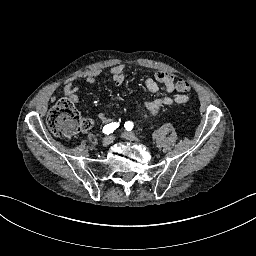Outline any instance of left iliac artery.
<instances>
[{
    "mask_svg": "<svg viewBox=\"0 0 256 256\" xmlns=\"http://www.w3.org/2000/svg\"><path fill=\"white\" fill-rule=\"evenodd\" d=\"M124 127L126 128L127 131H130L133 128V123L128 121L125 123Z\"/></svg>",
    "mask_w": 256,
    "mask_h": 256,
    "instance_id": "1",
    "label": "left iliac artery"
}]
</instances>
